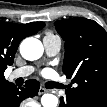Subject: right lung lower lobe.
I'll return each mask as SVG.
<instances>
[{"mask_svg":"<svg viewBox=\"0 0 107 107\" xmlns=\"http://www.w3.org/2000/svg\"><path fill=\"white\" fill-rule=\"evenodd\" d=\"M39 88V82L33 79L18 89L8 81L0 83V107H19L25 98L34 97Z\"/></svg>","mask_w":107,"mask_h":107,"instance_id":"obj_1","label":"right lung lower lobe"}]
</instances>
